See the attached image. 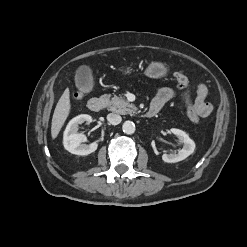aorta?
Instances as JSON below:
<instances>
[{
  "label": "aorta",
  "mask_w": 247,
  "mask_h": 247,
  "mask_svg": "<svg viewBox=\"0 0 247 247\" xmlns=\"http://www.w3.org/2000/svg\"><path fill=\"white\" fill-rule=\"evenodd\" d=\"M122 129L125 134L131 135L135 132V124L132 121H125Z\"/></svg>",
  "instance_id": "aorta-1"
}]
</instances>
